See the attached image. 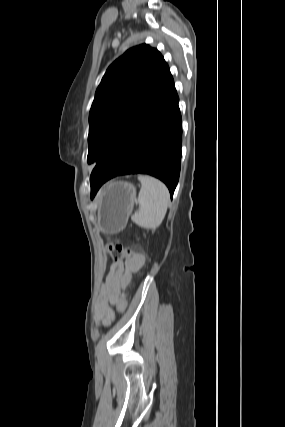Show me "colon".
Here are the masks:
<instances>
[{
  "instance_id": "1",
  "label": "colon",
  "mask_w": 285,
  "mask_h": 427,
  "mask_svg": "<svg viewBox=\"0 0 285 427\" xmlns=\"http://www.w3.org/2000/svg\"><path fill=\"white\" fill-rule=\"evenodd\" d=\"M106 253L108 258L114 261H118L122 259L127 260L133 255V251L130 248L118 243L107 244ZM126 307H127V293L121 292L119 296L118 304H117V310L119 313H122L125 311Z\"/></svg>"
}]
</instances>
